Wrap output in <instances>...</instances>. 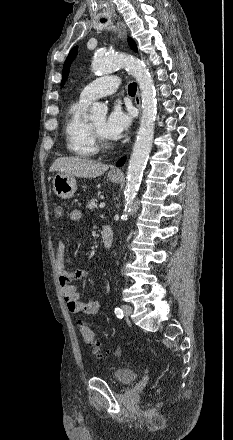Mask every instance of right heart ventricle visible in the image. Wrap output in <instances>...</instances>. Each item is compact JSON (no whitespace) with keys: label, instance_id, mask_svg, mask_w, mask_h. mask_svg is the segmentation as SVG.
I'll use <instances>...</instances> for the list:
<instances>
[{"label":"right heart ventricle","instance_id":"obj_1","mask_svg":"<svg viewBox=\"0 0 233 440\" xmlns=\"http://www.w3.org/2000/svg\"><path fill=\"white\" fill-rule=\"evenodd\" d=\"M87 104L82 100L73 102L67 110L64 127L68 151L81 158L92 157L98 151L85 118Z\"/></svg>","mask_w":233,"mask_h":440}]
</instances>
